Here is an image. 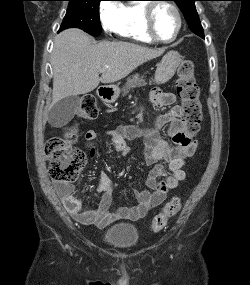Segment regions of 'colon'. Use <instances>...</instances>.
I'll return each instance as SVG.
<instances>
[{"label": "colon", "mask_w": 250, "mask_h": 285, "mask_svg": "<svg viewBox=\"0 0 250 285\" xmlns=\"http://www.w3.org/2000/svg\"><path fill=\"white\" fill-rule=\"evenodd\" d=\"M177 93L181 99L180 118L186 134L193 137L199 130L202 109L199 100V87L194 78V63L183 61L178 68ZM98 109L94 98L86 96L81 100L78 116L84 120L95 119ZM75 129L70 128L62 137H51L46 145V155L51 178L60 183L74 182L83 167L84 153L75 147ZM181 209V201L173 197L163 206L151 223V231L159 232Z\"/></svg>", "instance_id": "colon-1"}]
</instances>
